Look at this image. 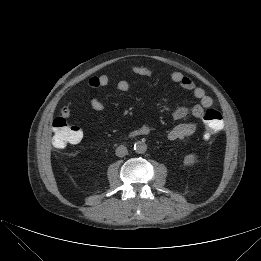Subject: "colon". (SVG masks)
<instances>
[{
	"label": "colon",
	"instance_id": "5ec220e1",
	"mask_svg": "<svg viewBox=\"0 0 261 261\" xmlns=\"http://www.w3.org/2000/svg\"><path fill=\"white\" fill-rule=\"evenodd\" d=\"M203 121L205 125V137L209 138L218 133L223 127V116L215 108L206 110ZM53 139L55 148L61 149L69 144H77L82 139V132L79 127L72 126L64 117H57L52 122Z\"/></svg>",
	"mask_w": 261,
	"mask_h": 261
}]
</instances>
